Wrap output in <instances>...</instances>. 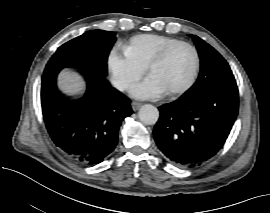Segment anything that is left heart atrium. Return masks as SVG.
I'll list each match as a JSON object with an SVG mask.
<instances>
[{
  "instance_id": "1",
  "label": "left heart atrium",
  "mask_w": 270,
  "mask_h": 213,
  "mask_svg": "<svg viewBox=\"0 0 270 213\" xmlns=\"http://www.w3.org/2000/svg\"><path fill=\"white\" fill-rule=\"evenodd\" d=\"M163 93V87L153 76H149L132 89V95L141 100H155L161 97Z\"/></svg>"
}]
</instances>
